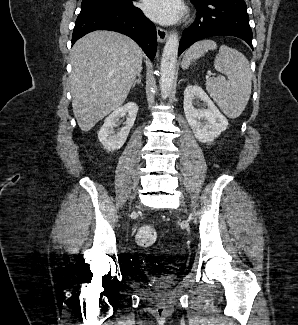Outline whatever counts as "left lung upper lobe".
Here are the masks:
<instances>
[{
    "instance_id": "5c2ea615",
    "label": "left lung upper lobe",
    "mask_w": 298,
    "mask_h": 325,
    "mask_svg": "<svg viewBox=\"0 0 298 325\" xmlns=\"http://www.w3.org/2000/svg\"><path fill=\"white\" fill-rule=\"evenodd\" d=\"M191 2H202V0H191Z\"/></svg>"
}]
</instances>
